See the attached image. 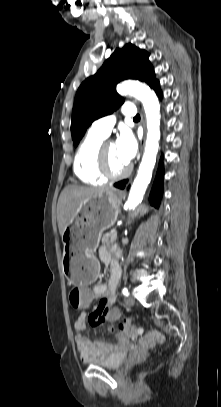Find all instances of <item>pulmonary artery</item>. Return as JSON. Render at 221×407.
I'll use <instances>...</instances> for the list:
<instances>
[{
	"mask_svg": "<svg viewBox=\"0 0 221 407\" xmlns=\"http://www.w3.org/2000/svg\"><path fill=\"white\" fill-rule=\"evenodd\" d=\"M121 112L126 117H134L137 113L136 107L132 103L123 105ZM116 122L115 115H108L94 121L90 130L107 137Z\"/></svg>",
	"mask_w": 221,
	"mask_h": 407,
	"instance_id": "e3ab8cb5",
	"label": "pulmonary artery"
}]
</instances>
